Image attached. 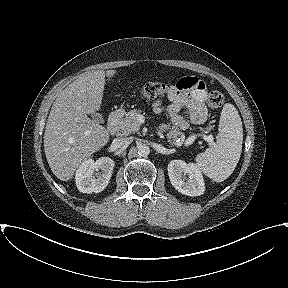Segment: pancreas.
Returning <instances> with one entry per match:
<instances>
[{
	"label": "pancreas",
	"instance_id": "pancreas-1",
	"mask_svg": "<svg viewBox=\"0 0 288 288\" xmlns=\"http://www.w3.org/2000/svg\"><path fill=\"white\" fill-rule=\"evenodd\" d=\"M140 110H131L125 114V117H121L117 122V132L118 135H129L131 133H139L140 123L137 117L140 115ZM168 142L174 146H182L185 142L184 133L180 132L178 129L173 128L169 133H167ZM197 137V136H196ZM178 139H180L178 141Z\"/></svg>",
	"mask_w": 288,
	"mask_h": 288
}]
</instances>
